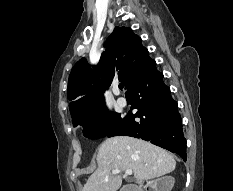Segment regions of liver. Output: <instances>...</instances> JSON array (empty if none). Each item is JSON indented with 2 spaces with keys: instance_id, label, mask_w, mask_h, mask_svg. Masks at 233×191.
I'll return each mask as SVG.
<instances>
[{
  "instance_id": "6515ba94",
  "label": "liver",
  "mask_w": 233,
  "mask_h": 191,
  "mask_svg": "<svg viewBox=\"0 0 233 191\" xmlns=\"http://www.w3.org/2000/svg\"><path fill=\"white\" fill-rule=\"evenodd\" d=\"M98 168L82 191H117L122 177L113 170H132L137 180H149L172 172L176 161L166 150L141 139L118 136L105 140L96 156Z\"/></svg>"
}]
</instances>
